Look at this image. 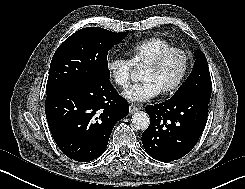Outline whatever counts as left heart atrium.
I'll return each instance as SVG.
<instances>
[{
	"instance_id": "left-heart-atrium-1",
	"label": "left heart atrium",
	"mask_w": 245,
	"mask_h": 189,
	"mask_svg": "<svg viewBox=\"0 0 245 189\" xmlns=\"http://www.w3.org/2000/svg\"><path fill=\"white\" fill-rule=\"evenodd\" d=\"M161 90L150 80H144L131 85L124 97L134 102H145L157 97Z\"/></svg>"
}]
</instances>
